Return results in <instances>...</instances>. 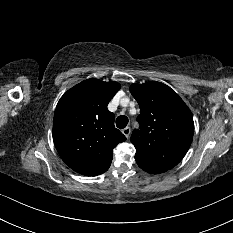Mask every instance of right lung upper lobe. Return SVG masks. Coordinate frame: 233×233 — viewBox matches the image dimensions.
I'll use <instances>...</instances> for the list:
<instances>
[{
	"label": "right lung upper lobe",
	"mask_w": 233,
	"mask_h": 233,
	"mask_svg": "<svg viewBox=\"0 0 233 233\" xmlns=\"http://www.w3.org/2000/svg\"><path fill=\"white\" fill-rule=\"evenodd\" d=\"M120 84L87 79L59 100L53 121V141L62 160L74 171L97 176L108 170L113 149L126 137L114 126L107 109Z\"/></svg>",
	"instance_id": "1"
}]
</instances>
